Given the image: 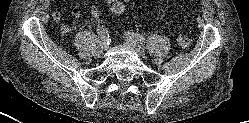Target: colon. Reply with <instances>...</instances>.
Here are the masks:
<instances>
[{"mask_svg":"<svg viewBox=\"0 0 249 123\" xmlns=\"http://www.w3.org/2000/svg\"><path fill=\"white\" fill-rule=\"evenodd\" d=\"M125 10V6L121 7L118 4H112L104 10L105 15H111L115 13H120ZM177 43L182 48H188L191 46V39L185 34H179L177 37Z\"/></svg>","mask_w":249,"mask_h":123,"instance_id":"colon-1","label":"colon"}]
</instances>
